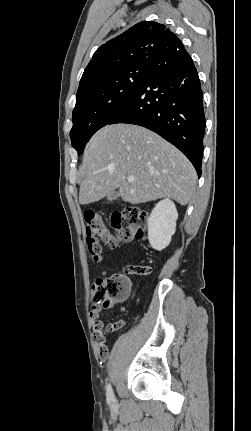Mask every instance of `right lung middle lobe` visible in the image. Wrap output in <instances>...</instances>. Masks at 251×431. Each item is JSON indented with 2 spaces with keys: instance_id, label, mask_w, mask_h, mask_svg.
Instances as JSON below:
<instances>
[{
  "instance_id": "dd1d6c3e",
  "label": "right lung middle lobe",
  "mask_w": 251,
  "mask_h": 431,
  "mask_svg": "<svg viewBox=\"0 0 251 431\" xmlns=\"http://www.w3.org/2000/svg\"><path fill=\"white\" fill-rule=\"evenodd\" d=\"M147 66L127 68L77 92L70 138L80 155L92 135L141 85Z\"/></svg>"
}]
</instances>
